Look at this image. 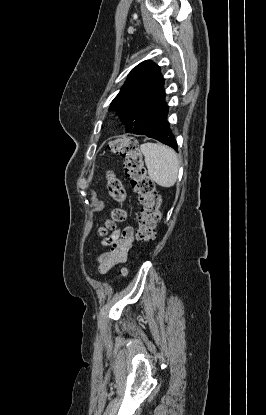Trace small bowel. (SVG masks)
I'll return each instance as SVG.
<instances>
[{
  "instance_id": "obj_1",
  "label": "small bowel",
  "mask_w": 266,
  "mask_h": 415,
  "mask_svg": "<svg viewBox=\"0 0 266 415\" xmlns=\"http://www.w3.org/2000/svg\"><path fill=\"white\" fill-rule=\"evenodd\" d=\"M133 241L134 230L130 225L114 230L103 241L108 249L98 257V272L105 274L116 265L125 262Z\"/></svg>"
}]
</instances>
